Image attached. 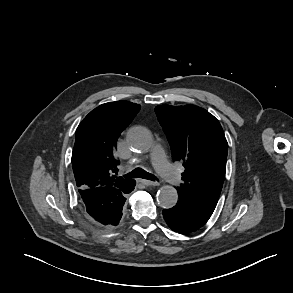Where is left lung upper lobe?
<instances>
[{
	"label": "left lung upper lobe",
	"instance_id": "left-lung-upper-lobe-1",
	"mask_svg": "<svg viewBox=\"0 0 293 293\" xmlns=\"http://www.w3.org/2000/svg\"><path fill=\"white\" fill-rule=\"evenodd\" d=\"M171 147L173 160L183 163L178 192L215 209L223 186L228 143L219 121L194 105L155 108Z\"/></svg>",
	"mask_w": 293,
	"mask_h": 293
}]
</instances>
